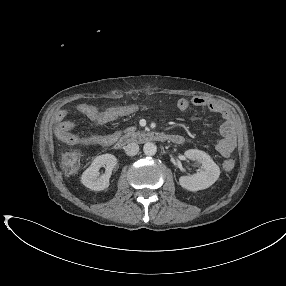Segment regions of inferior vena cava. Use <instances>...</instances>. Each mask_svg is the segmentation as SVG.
Instances as JSON below:
<instances>
[{
	"instance_id": "1",
	"label": "inferior vena cava",
	"mask_w": 286,
	"mask_h": 286,
	"mask_svg": "<svg viewBox=\"0 0 286 286\" xmlns=\"http://www.w3.org/2000/svg\"><path fill=\"white\" fill-rule=\"evenodd\" d=\"M139 152V145L135 142H131L126 145L125 153L128 156H135Z\"/></svg>"
}]
</instances>
